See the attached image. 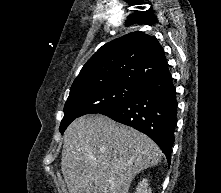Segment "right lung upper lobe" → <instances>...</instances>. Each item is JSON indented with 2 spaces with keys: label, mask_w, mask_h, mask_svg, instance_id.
Instances as JSON below:
<instances>
[{
  "label": "right lung upper lobe",
  "mask_w": 221,
  "mask_h": 193,
  "mask_svg": "<svg viewBox=\"0 0 221 193\" xmlns=\"http://www.w3.org/2000/svg\"><path fill=\"white\" fill-rule=\"evenodd\" d=\"M170 74L155 36L136 31L103 45L83 66L70 90L117 82H144Z\"/></svg>",
  "instance_id": "right-lung-upper-lobe-1"
}]
</instances>
